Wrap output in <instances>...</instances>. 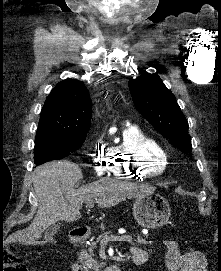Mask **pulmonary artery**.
I'll return each mask as SVG.
<instances>
[{"instance_id":"pulmonary-artery-1","label":"pulmonary artery","mask_w":221,"mask_h":271,"mask_svg":"<svg viewBox=\"0 0 221 271\" xmlns=\"http://www.w3.org/2000/svg\"><path fill=\"white\" fill-rule=\"evenodd\" d=\"M140 127V122H123V127ZM123 138H139L136 128H127V133H123Z\"/></svg>"}]
</instances>
